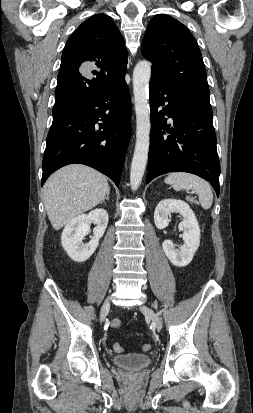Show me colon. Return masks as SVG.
Here are the masks:
<instances>
[{
  "label": "colon",
  "instance_id": "colon-1",
  "mask_svg": "<svg viewBox=\"0 0 253 413\" xmlns=\"http://www.w3.org/2000/svg\"><path fill=\"white\" fill-rule=\"evenodd\" d=\"M110 327L114 330L119 329L121 327V321L119 319L112 320L111 323H110ZM142 349L144 351H149L151 349V344H149V343L144 344L142 346ZM114 350L117 351V352H121L123 350V348H122L121 345L115 344L114 345Z\"/></svg>",
  "mask_w": 253,
  "mask_h": 413
}]
</instances>
